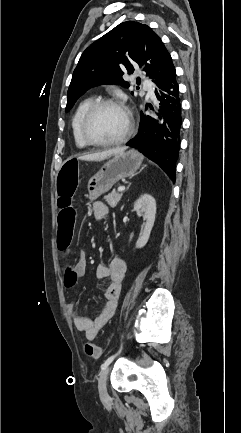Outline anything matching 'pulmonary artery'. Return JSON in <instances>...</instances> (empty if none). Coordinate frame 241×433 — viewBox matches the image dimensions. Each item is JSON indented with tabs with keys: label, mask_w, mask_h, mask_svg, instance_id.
<instances>
[{
	"label": "pulmonary artery",
	"mask_w": 241,
	"mask_h": 433,
	"mask_svg": "<svg viewBox=\"0 0 241 433\" xmlns=\"http://www.w3.org/2000/svg\"><path fill=\"white\" fill-rule=\"evenodd\" d=\"M148 91L151 93V89L149 88Z\"/></svg>",
	"instance_id": "pulmonary-artery-1"
}]
</instances>
